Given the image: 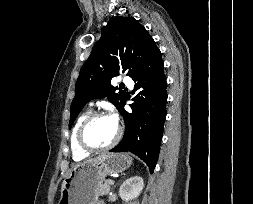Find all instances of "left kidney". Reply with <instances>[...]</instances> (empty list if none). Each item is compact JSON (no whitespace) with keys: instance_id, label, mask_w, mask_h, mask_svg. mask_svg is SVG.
Returning a JSON list of instances; mask_svg holds the SVG:
<instances>
[{"instance_id":"obj_1","label":"left kidney","mask_w":253,"mask_h":204,"mask_svg":"<svg viewBox=\"0 0 253 204\" xmlns=\"http://www.w3.org/2000/svg\"><path fill=\"white\" fill-rule=\"evenodd\" d=\"M144 187V181L140 176L130 177L120 186L119 196L122 200L128 202L137 198Z\"/></svg>"}]
</instances>
